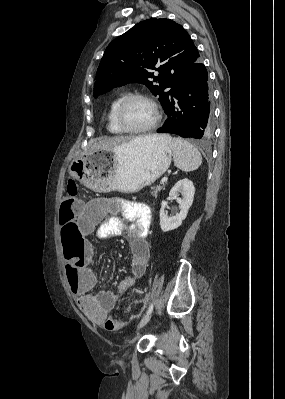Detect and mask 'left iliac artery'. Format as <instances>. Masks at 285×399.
<instances>
[{
  "mask_svg": "<svg viewBox=\"0 0 285 399\" xmlns=\"http://www.w3.org/2000/svg\"><path fill=\"white\" fill-rule=\"evenodd\" d=\"M152 310H153V304L151 303V304L149 305L147 311H146L145 316L148 315V314H150V313L152 312Z\"/></svg>",
  "mask_w": 285,
  "mask_h": 399,
  "instance_id": "obj_1",
  "label": "left iliac artery"
}]
</instances>
